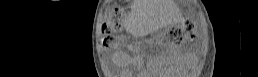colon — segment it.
<instances>
[{
    "mask_svg": "<svg viewBox=\"0 0 258 77\" xmlns=\"http://www.w3.org/2000/svg\"><path fill=\"white\" fill-rule=\"evenodd\" d=\"M121 30V13L114 10L106 14L102 25V32L105 36L113 35ZM195 34L194 25L186 20L180 26H175L167 30V39L173 43H181L187 39H192Z\"/></svg>",
    "mask_w": 258,
    "mask_h": 77,
    "instance_id": "obj_1",
    "label": "colon"
}]
</instances>
